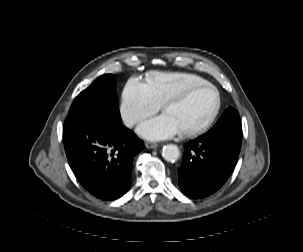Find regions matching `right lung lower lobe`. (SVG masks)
Returning <instances> with one entry per match:
<instances>
[{
    "label": "right lung lower lobe",
    "mask_w": 303,
    "mask_h": 252,
    "mask_svg": "<svg viewBox=\"0 0 303 252\" xmlns=\"http://www.w3.org/2000/svg\"><path fill=\"white\" fill-rule=\"evenodd\" d=\"M64 146L84 188L97 198L114 200L127 192L133 158L144 144L120 118L92 111L66 119Z\"/></svg>",
    "instance_id": "98d812e1"
}]
</instances>
